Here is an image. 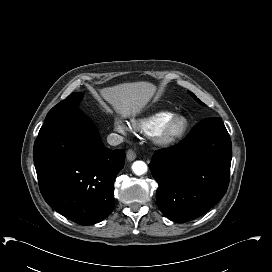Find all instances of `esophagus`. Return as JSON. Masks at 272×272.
I'll return each mask as SVG.
<instances>
[{"label":"esophagus","mask_w":272,"mask_h":272,"mask_svg":"<svg viewBox=\"0 0 272 272\" xmlns=\"http://www.w3.org/2000/svg\"><path fill=\"white\" fill-rule=\"evenodd\" d=\"M126 158L128 161H133L136 158V153L132 149H128Z\"/></svg>","instance_id":"esophagus-1"}]
</instances>
